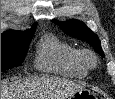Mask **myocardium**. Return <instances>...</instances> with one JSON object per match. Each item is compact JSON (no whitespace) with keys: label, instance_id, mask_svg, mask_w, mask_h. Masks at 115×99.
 <instances>
[{"label":"myocardium","instance_id":"myocardium-1","mask_svg":"<svg viewBox=\"0 0 115 99\" xmlns=\"http://www.w3.org/2000/svg\"><path fill=\"white\" fill-rule=\"evenodd\" d=\"M83 60L88 68H93L97 64V58L95 54L89 50L82 51Z\"/></svg>","mask_w":115,"mask_h":99}]
</instances>
